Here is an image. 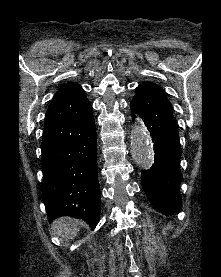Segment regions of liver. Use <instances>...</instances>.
<instances>
[{
    "label": "liver",
    "mask_w": 221,
    "mask_h": 277,
    "mask_svg": "<svg viewBox=\"0 0 221 277\" xmlns=\"http://www.w3.org/2000/svg\"><path fill=\"white\" fill-rule=\"evenodd\" d=\"M82 222L70 217H61L54 221L52 230L60 237L73 239L80 230Z\"/></svg>",
    "instance_id": "1"
}]
</instances>
